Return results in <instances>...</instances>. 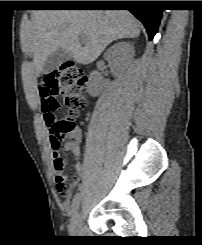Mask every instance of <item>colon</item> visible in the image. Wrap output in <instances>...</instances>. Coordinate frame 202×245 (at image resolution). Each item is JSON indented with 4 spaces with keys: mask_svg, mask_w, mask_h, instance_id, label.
<instances>
[{
    "mask_svg": "<svg viewBox=\"0 0 202 245\" xmlns=\"http://www.w3.org/2000/svg\"><path fill=\"white\" fill-rule=\"evenodd\" d=\"M86 83L87 76L82 69L69 62L46 72L41 78L40 84L57 95L67 111L64 118L58 119L54 112L58 103L52 105L48 100L41 99L48 137L55 149L60 147L62 135L73 128V119L86 107L84 96Z\"/></svg>",
    "mask_w": 202,
    "mask_h": 245,
    "instance_id": "1",
    "label": "colon"
}]
</instances>
